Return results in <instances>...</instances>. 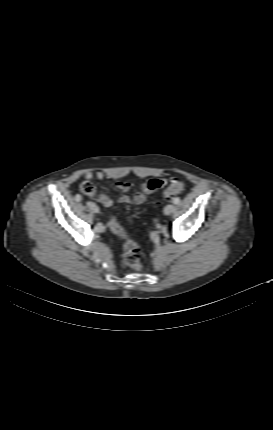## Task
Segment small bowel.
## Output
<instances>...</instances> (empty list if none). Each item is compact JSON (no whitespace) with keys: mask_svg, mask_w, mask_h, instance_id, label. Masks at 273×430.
<instances>
[{"mask_svg":"<svg viewBox=\"0 0 273 430\" xmlns=\"http://www.w3.org/2000/svg\"><path fill=\"white\" fill-rule=\"evenodd\" d=\"M104 177H105V173L102 171H97L95 173L89 171L85 173V178L89 180L92 178L101 180ZM167 182L168 180L165 178L150 179L144 182L140 186V189L132 197L127 194L122 195L119 197L118 202L120 204H135V205L143 204L149 196H151L157 190H159L164 185H166ZM117 188L124 193H128L132 189V184L127 181L118 182ZM97 199L105 207H111L114 203V200L105 193H100Z\"/></svg>","mask_w":273,"mask_h":430,"instance_id":"c3829d8e","label":"small bowel"}]
</instances>
